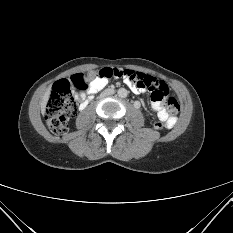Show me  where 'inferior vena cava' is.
I'll return each mask as SVG.
<instances>
[{
	"instance_id": "obj_1",
	"label": "inferior vena cava",
	"mask_w": 233,
	"mask_h": 233,
	"mask_svg": "<svg viewBox=\"0 0 233 233\" xmlns=\"http://www.w3.org/2000/svg\"><path fill=\"white\" fill-rule=\"evenodd\" d=\"M113 92H114L113 89L109 87V88L103 90L101 94H102L103 97L106 98V97L112 95Z\"/></svg>"
}]
</instances>
